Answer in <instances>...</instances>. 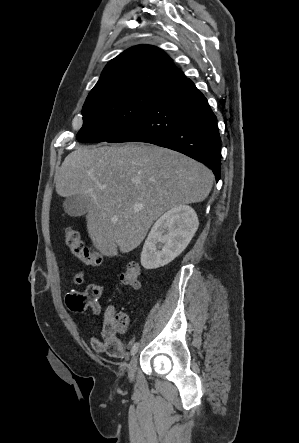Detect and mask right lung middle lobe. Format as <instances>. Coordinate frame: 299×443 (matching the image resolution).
Instances as JSON below:
<instances>
[{
  "mask_svg": "<svg viewBox=\"0 0 299 443\" xmlns=\"http://www.w3.org/2000/svg\"><path fill=\"white\" fill-rule=\"evenodd\" d=\"M164 92L160 88L132 87L87 97L83 126L76 139L82 143L107 141L138 119Z\"/></svg>",
  "mask_w": 299,
  "mask_h": 443,
  "instance_id": "right-lung-middle-lobe-1",
  "label": "right lung middle lobe"
}]
</instances>
